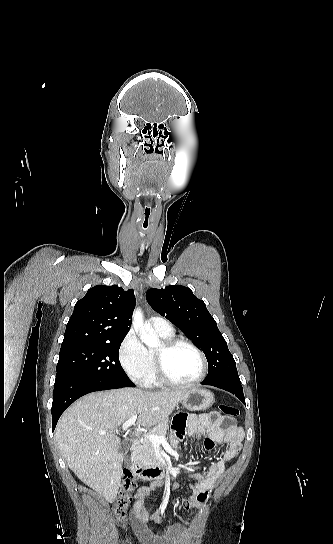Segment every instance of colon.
I'll use <instances>...</instances> for the list:
<instances>
[{"label": "colon", "instance_id": "1", "mask_svg": "<svg viewBox=\"0 0 333 544\" xmlns=\"http://www.w3.org/2000/svg\"><path fill=\"white\" fill-rule=\"evenodd\" d=\"M220 410L229 419H234L239 414V410L232 405H222L220 406ZM136 486V479L127 472L113 507L116 519L122 529H125L127 526V509L131 503L132 494ZM122 543L129 544L130 542L128 539H124Z\"/></svg>", "mask_w": 333, "mask_h": 544}]
</instances>
